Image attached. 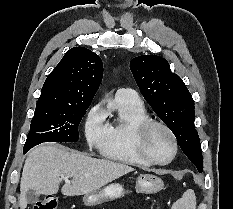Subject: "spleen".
<instances>
[{
  "label": "spleen",
  "instance_id": "spleen-1",
  "mask_svg": "<svg viewBox=\"0 0 233 209\" xmlns=\"http://www.w3.org/2000/svg\"><path fill=\"white\" fill-rule=\"evenodd\" d=\"M172 209H196V196L192 189L187 190L182 198L177 200Z\"/></svg>",
  "mask_w": 233,
  "mask_h": 209
}]
</instances>
